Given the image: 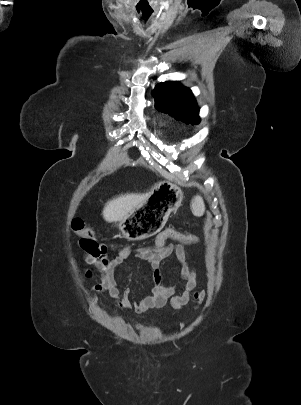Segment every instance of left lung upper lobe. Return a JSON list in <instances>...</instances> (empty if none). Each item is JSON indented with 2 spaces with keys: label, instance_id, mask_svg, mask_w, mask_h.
Wrapping results in <instances>:
<instances>
[{
  "label": "left lung upper lobe",
  "instance_id": "obj_1",
  "mask_svg": "<svg viewBox=\"0 0 301 405\" xmlns=\"http://www.w3.org/2000/svg\"><path fill=\"white\" fill-rule=\"evenodd\" d=\"M155 106L186 124L200 122L199 108L189 88L179 82L166 81L156 85L153 90Z\"/></svg>",
  "mask_w": 301,
  "mask_h": 405
}]
</instances>
